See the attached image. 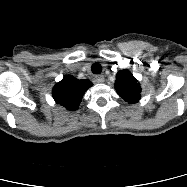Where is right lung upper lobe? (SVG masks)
<instances>
[{
  "label": "right lung upper lobe",
  "instance_id": "right-lung-upper-lobe-1",
  "mask_svg": "<svg viewBox=\"0 0 187 187\" xmlns=\"http://www.w3.org/2000/svg\"><path fill=\"white\" fill-rule=\"evenodd\" d=\"M92 85L87 79L79 80L66 75L53 88L54 100L68 110H77L85 91Z\"/></svg>",
  "mask_w": 187,
  "mask_h": 187
}]
</instances>
